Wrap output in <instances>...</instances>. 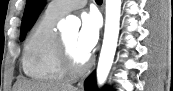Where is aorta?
<instances>
[{"instance_id": "762f6f07", "label": "aorta", "mask_w": 173, "mask_h": 91, "mask_svg": "<svg viewBox=\"0 0 173 91\" xmlns=\"http://www.w3.org/2000/svg\"><path fill=\"white\" fill-rule=\"evenodd\" d=\"M121 2V0H106L104 39L97 67L98 86L105 83L113 63L119 35ZM63 25L78 27L80 20L70 16L66 18Z\"/></svg>"}]
</instances>
